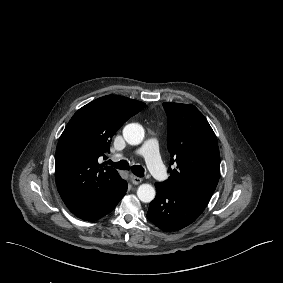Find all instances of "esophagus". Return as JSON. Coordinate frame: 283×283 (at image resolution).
Returning a JSON list of instances; mask_svg holds the SVG:
<instances>
[{
  "mask_svg": "<svg viewBox=\"0 0 283 283\" xmlns=\"http://www.w3.org/2000/svg\"><path fill=\"white\" fill-rule=\"evenodd\" d=\"M142 181H143L142 178H139V177H137V176H133V177L131 178V182H132L134 185H139Z\"/></svg>",
  "mask_w": 283,
  "mask_h": 283,
  "instance_id": "1",
  "label": "esophagus"
}]
</instances>
